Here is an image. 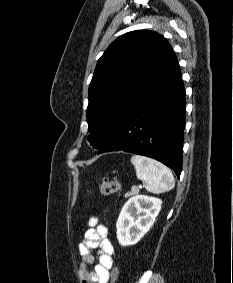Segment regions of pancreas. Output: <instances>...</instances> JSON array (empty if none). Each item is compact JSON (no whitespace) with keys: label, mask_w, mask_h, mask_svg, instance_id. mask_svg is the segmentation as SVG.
<instances>
[{"label":"pancreas","mask_w":233,"mask_h":283,"mask_svg":"<svg viewBox=\"0 0 233 283\" xmlns=\"http://www.w3.org/2000/svg\"><path fill=\"white\" fill-rule=\"evenodd\" d=\"M138 193H139L138 188L137 187H132L131 191L126 193V197L137 195Z\"/></svg>","instance_id":"cf45deb5"}]
</instances>
